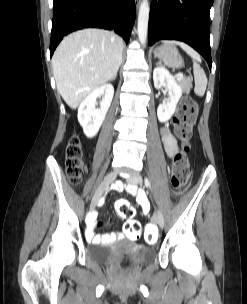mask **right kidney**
I'll list each match as a JSON object with an SVG mask.
<instances>
[{
  "label": "right kidney",
  "mask_w": 247,
  "mask_h": 304,
  "mask_svg": "<svg viewBox=\"0 0 247 304\" xmlns=\"http://www.w3.org/2000/svg\"><path fill=\"white\" fill-rule=\"evenodd\" d=\"M114 95V87L107 83L94 89L78 108V121L88 138H93L99 131ZM102 96L100 108H96L97 98Z\"/></svg>",
  "instance_id": "obj_1"
}]
</instances>
